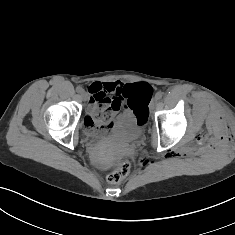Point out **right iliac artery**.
I'll return each instance as SVG.
<instances>
[{"instance_id": "1", "label": "right iliac artery", "mask_w": 235, "mask_h": 235, "mask_svg": "<svg viewBox=\"0 0 235 235\" xmlns=\"http://www.w3.org/2000/svg\"><path fill=\"white\" fill-rule=\"evenodd\" d=\"M76 91H77L78 93H81V92L83 91V88L80 87V86H78V87L76 88Z\"/></svg>"}]
</instances>
